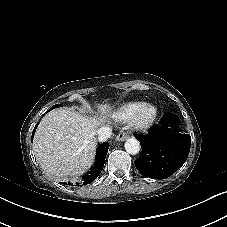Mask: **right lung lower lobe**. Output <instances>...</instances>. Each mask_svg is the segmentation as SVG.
Listing matches in <instances>:
<instances>
[{
    "mask_svg": "<svg viewBox=\"0 0 227 227\" xmlns=\"http://www.w3.org/2000/svg\"><path fill=\"white\" fill-rule=\"evenodd\" d=\"M38 125V123H37ZM37 125L35 126L33 133H32V140L34 137L35 130L37 128ZM109 148V144L107 142L102 143L97 149H96V158H95V163L90 169V171L87 172V174L83 175V180L81 183H77L75 186H82V185H87L92 183L100 174V172L103 169L104 162H105V157L107 155ZM67 185H70L71 183L68 182L66 183ZM72 185V184H71Z\"/></svg>",
    "mask_w": 227,
    "mask_h": 227,
    "instance_id": "right-lung-lower-lobe-1",
    "label": "right lung lower lobe"
}]
</instances>
